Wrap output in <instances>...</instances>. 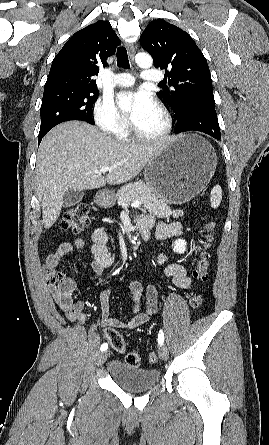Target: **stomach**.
Listing matches in <instances>:
<instances>
[{
  "label": "stomach",
  "instance_id": "1",
  "mask_svg": "<svg viewBox=\"0 0 269 445\" xmlns=\"http://www.w3.org/2000/svg\"><path fill=\"white\" fill-rule=\"evenodd\" d=\"M217 165L213 147L196 134H181L169 140L149 160L144 170L146 185L165 203L183 204L197 196L212 178ZM116 197L108 190L98 192L95 203L103 208L114 205Z\"/></svg>",
  "mask_w": 269,
  "mask_h": 445
}]
</instances>
